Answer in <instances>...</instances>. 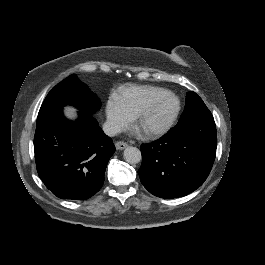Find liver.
I'll return each instance as SVG.
<instances>
[{"mask_svg":"<svg viewBox=\"0 0 265 265\" xmlns=\"http://www.w3.org/2000/svg\"><path fill=\"white\" fill-rule=\"evenodd\" d=\"M65 115L68 118H75L76 117L75 110L72 108H69V107L65 108Z\"/></svg>","mask_w":265,"mask_h":265,"instance_id":"1","label":"liver"}]
</instances>
